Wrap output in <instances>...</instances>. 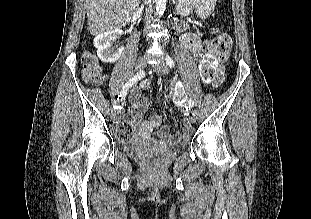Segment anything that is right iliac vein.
<instances>
[{
	"label": "right iliac vein",
	"instance_id": "1",
	"mask_svg": "<svg viewBox=\"0 0 311 219\" xmlns=\"http://www.w3.org/2000/svg\"><path fill=\"white\" fill-rule=\"evenodd\" d=\"M145 66H146V60H145V58L141 57V58H139V59L136 61L135 69H136L137 71H140V70L144 69ZM118 103H119V102H115L114 104L116 105V104H118ZM116 108H117V106H116ZM113 113H114L115 115L117 114V112L115 111V106H114V111H113Z\"/></svg>",
	"mask_w": 311,
	"mask_h": 219
}]
</instances>
